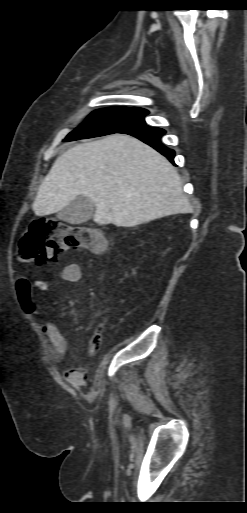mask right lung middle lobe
I'll return each instance as SVG.
<instances>
[{
	"label": "right lung middle lobe",
	"mask_w": 247,
	"mask_h": 513,
	"mask_svg": "<svg viewBox=\"0 0 247 513\" xmlns=\"http://www.w3.org/2000/svg\"><path fill=\"white\" fill-rule=\"evenodd\" d=\"M149 112L137 107H110L92 112L79 127L74 129L63 141L92 138L112 133L144 123Z\"/></svg>",
	"instance_id": "1"
}]
</instances>
